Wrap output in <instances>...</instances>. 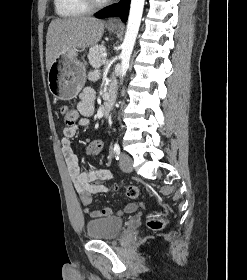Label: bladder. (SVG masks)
<instances>
[{"mask_svg":"<svg viewBox=\"0 0 247 280\" xmlns=\"http://www.w3.org/2000/svg\"><path fill=\"white\" fill-rule=\"evenodd\" d=\"M124 228V220L118 217H105L88 221L87 237L92 240H112L117 238Z\"/></svg>","mask_w":247,"mask_h":280,"instance_id":"obj_1","label":"bladder"}]
</instances>
